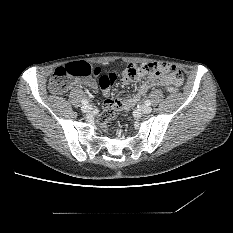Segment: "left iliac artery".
Here are the masks:
<instances>
[{
  "instance_id": "obj_1",
  "label": "left iliac artery",
  "mask_w": 233,
  "mask_h": 233,
  "mask_svg": "<svg viewBox=\"0 0 233 233\" xmlns=\"http://www.w3.org/2000/svg\"><path fill=\"white\" fill-rule=\"evenodd\" d=\"M145 105L150 106V105H151L150 100H146V101H145Z\"/></svg>"
}]
</instances>
